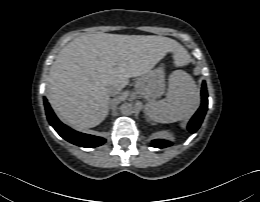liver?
Listing matches in <instances>:
<instances>
[{
	"label": "liver",
	"instance_id": "1",
	"mask_svg": "<svg viewBox=\"0 0 260 202\" xmlns=\"http://www.w3.org/2000/svg\"><path fill=\"white\" fill-rule=\"evenodd\" d=\"M168 52L179 66L185 49L162 36L82 34L57 55L50 69L48 100L56 115L74 128L100 124L108 113L109 90L149 72Z\"/></svg>",
	"mask_w": 260,
	"mask_h": 202
}]
</instances>
